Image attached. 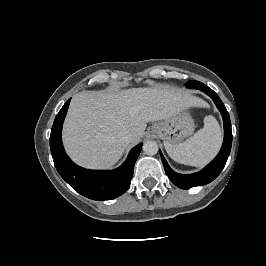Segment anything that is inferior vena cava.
<instances>
[{
    "instance_id": "602c4592",
    "label": "inferior vena cava",
    "mask_w": 266,
    "mask_h": 266,
    "mask_svg": "<svg viewBox=\"0 0 266 266\" xmlns=\"http://www.w3.org/2000/svg\"><path fill=\"white\" fill-rule=\"evenodd\" d=\"M119 138L123 143L129 144L131 142L132 135L128 131H122L119 134Z\"/></svg>"
}]
</instances>
